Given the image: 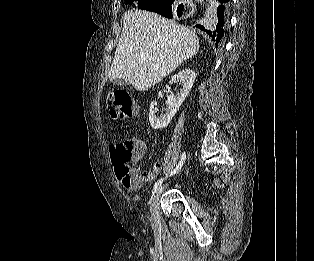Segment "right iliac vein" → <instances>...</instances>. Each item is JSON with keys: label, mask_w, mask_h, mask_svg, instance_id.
<instances>
[{"label": "right iliac vein", "mask_w": 314, "mask_h": 261, "mask_svg": "<svg viewBox=\"0 0 314 261\" xmlns=\"http://www.w3.org/2000/svg\"><path fill=\"white\" fill-rule=\"evenodd\" d=\"M164 186L160 187L155 195L152 198L151 205H150V212H151V219L152 223L157 225L159 223V200L160 196L163 192Z\"/></svg>", "instance_id": "1"}]
</instances>
